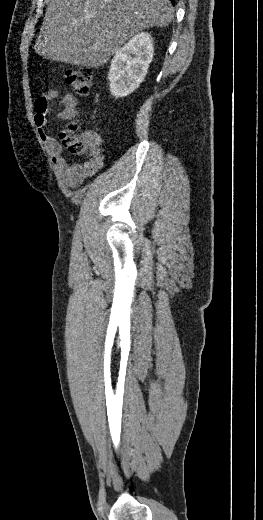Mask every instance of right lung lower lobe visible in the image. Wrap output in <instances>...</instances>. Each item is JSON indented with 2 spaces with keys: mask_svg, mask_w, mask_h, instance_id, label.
Listing matches in <instances>:
<instances>
[{
  "mask_svg": "<svg viewBox=\"0 0 263 520\" xmlns=\"http://www.w3.org/2000/svg\"><path fill=\"white\" fill-rule=\"evenodd\" d=\"M172 2V4L174 5L175 4V0H170Z\"/></svg>",
  "mask_w": 263,
  "mask_h": 520,
  "instance_id": "98d812e1",
  "label": "right lung lower lobe"
}]
</instances>
